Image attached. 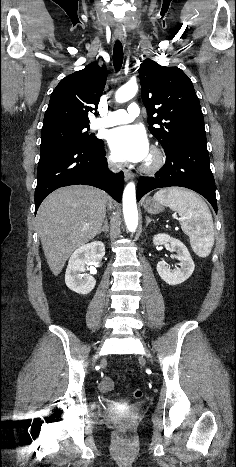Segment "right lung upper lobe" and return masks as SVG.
Wrapping results in <instances>:
<instances>
[{
  "instance_id": "right-lung-upper-lobe-1",
  "label": "right lung upper lobe",
  "mask_w": 236,
  "mask_h": 467,
  "mask_svg": "<svg viewBox=\"0 0 236 467\" xmlns=\"http://www.w3.org/2000/svg\"><path fill=\"white\" fill-rule=\"evenodd\" d=\"M106 78V68L91 63L62 79L51 94L42 130L66 125H89L88 112L98 106Z\"/></svg>"
}]
</instances>
